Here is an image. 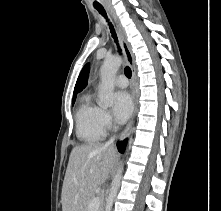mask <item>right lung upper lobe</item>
<instances>
[{
	"label": "right lung upper lobe",
	"instance_id": "right-lung-upper-lobe-1",
	"mask_svg": "<svg viewBox=\"0 0 221 211\" xmlns=\"http://www.w3.org/2000/svg\"><path fill=\"white\" fill-rule=\"evenodd\" d=\"M88 72H89V64H86L83 67V69L77 79V82H76V85L74 88V93H73L74 97H76V94L78 92H80L84 88V86L87 84Z\"/></svg>",
	"mask_w": 221,
	"mask_h": 211
}]
</instances>
